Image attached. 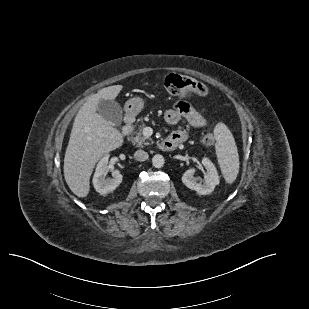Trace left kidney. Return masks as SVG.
Wrapping results in <instances>:
<instances>
[{"mask_svg": "<svg viewBox=\"0 0 309 309\" xmlns=\"http://www.w3.org/2000/svg\"><path fill=\"white\" fill-rule=\"evenodd\" d=\"M202 166L206 169L204 180L194 177L195 169L192 168L183 174L182 182L189 189L195 190L201 195H207L212 193L215 186L219 184V176L216 167L208 158L202 159Z\"/></svg>", "mask_w": 309, "mask_h": 309, "instance_id": "left-kidney-1", "label": "left kidney"}]
</instances>
